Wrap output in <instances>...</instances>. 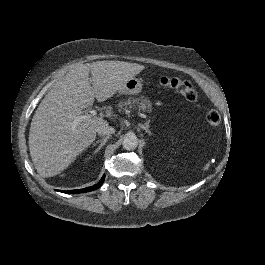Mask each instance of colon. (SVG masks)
Here are the masks:
<instances>
[{"instance_id": "1", "label": "colon", "mask_w": 265, "mask_h": 265, "mask_svg": "<svg viewBox=\"0 0 265 265\" xmlns=\"http://www.w3.org/2000/svg\"><path fill=\"white\" fill-rule=\"evenodd\" d=\"M160 83L164 87L177 91L190 102L197 100V92L193 85L187 80L178 77H163ZM207 122L211 127L217 128L221 122L219 112L215 109L210 110L207 114Z\"/></svg>"}]
</instances>
